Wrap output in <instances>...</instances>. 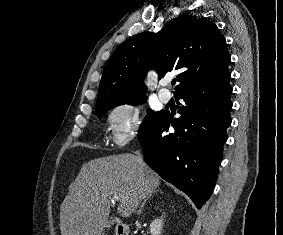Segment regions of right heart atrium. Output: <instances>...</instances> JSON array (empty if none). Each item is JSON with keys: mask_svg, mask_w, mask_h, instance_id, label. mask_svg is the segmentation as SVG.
<instances>
[{"mask_svg": "<svg viewBox=\"0 0 283 235\" xmlns=\"http://www.w3.org/2000/svg\"><path fill=\"white\" fill-rule=\"evenodd\" d=\"M142 121L140 107L132 101L115 105L108 115V130L112 143L122 147L136 134Z\"/></svg>", "mask_w": 283, "mask_h": 235, "instance_id": "d8ad5b80", "label": "right heart atrium"}]
</instances>
